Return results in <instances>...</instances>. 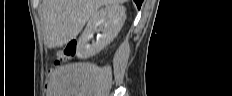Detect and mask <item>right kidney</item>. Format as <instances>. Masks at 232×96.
<instances>
[{
	"instance_id": "1",
	"label": "right kidney",
	"mask_w": 232,
	"mask_h": 96,
	"mask_svg": "<svg viewBox=\"0 0 232 96\" xmlns=\"http://www.w3.org/2000/svg\"><path fill=\"white\" fill-rule=\"evenodd\" d=\"M126 8L120 4H108L95 12L89 19L86 28L77 43V55L80 58H90L106 47L121 30L126 19ZM102 34L96 42L89 44L93 34L97 31Z\"/></svg>"
}]
</instances>
